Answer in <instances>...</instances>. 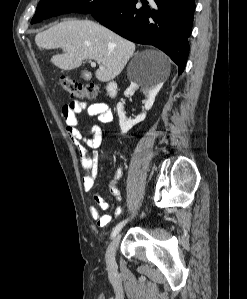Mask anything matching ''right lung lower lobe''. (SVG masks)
<instances>
[{
    "mask_svg": "<svg viewBox=\"0 0 247 299\" xmlns=\"http://www.w3.org/2000/svg\"><path fill=\"white\" fill-rule=\"evenodd\" d=\"M194 9V0H122L92 16L130 41L159 48L181 74L189 53Z\"/></svg>",
    "mask_w": 247,
    "mask_h": 299,
    "instance_id": "98d812e1",
    "label": "right lung lower lobe"
}]
</instances>
